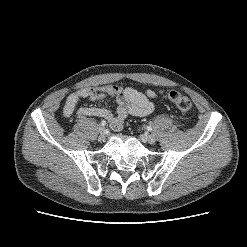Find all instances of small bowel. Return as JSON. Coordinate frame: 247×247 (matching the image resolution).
<instances>
[{
  "label": "small bowel",
  "mask_w": 247,
  "mask_h": 247,
  "mask_svg": "<svg viewBox=\"0 0 247 247\" xmlns=\"http://www.w3.org/2000/svg\"><path fill=\"white\" fill-rule=\"evenodd\" d=\"M157 97V93L151 89L141 92L132 87H120L109 85L98 88H83L71 93L65 101L63 107L64 117H70L81 99L91 101L114 99L116 102V114L97 107H81L77 114L81 117L93 116L105 119L110 128L119 131L128 116L144 117L151 114L154 104L151 99ZM104 120V121H105Z\"/></svg>",
  "instance_id": "1"
}]
</instances>
